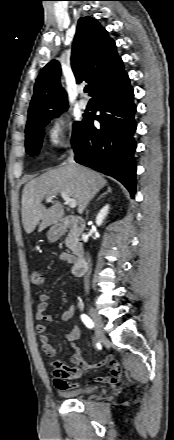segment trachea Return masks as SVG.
<instances>
[{
	"label": "trachea",
	"instance_id": "1",
	"mask_svg": "<svg viewBox=\"0 0 174 440\" xmlns=\"http://www.w3.org/2000/svg\"><path fill=\"white\" fill-rule=\"evenodd\" d=\"M88 90H89V87L86 86L85 89H84V91H85V92H88Z\"/></svg>",
	"mask_w": 174,
	"mask_h": 440
}]
</instances>
